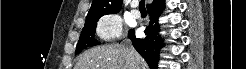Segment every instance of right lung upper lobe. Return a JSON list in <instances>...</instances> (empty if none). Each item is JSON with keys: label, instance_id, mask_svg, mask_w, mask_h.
Listing matches in <instances>:
<instances>
[{"label": "right lung upper lobe", "instance_id": "cb5924a9", "mask_svg": "<svg viewBox=\"0 0 246 69\" xmlns=\"http://www.w3.org/2000/svg\"><path fill=\"white\" fill-rule=\"evenodd\" d=\"M121 5L122 0H93L86 21L99 19L106 14L118 13Z\"/></svg>", "mask_w": 246, "mask_h": 69}]
</instances>
